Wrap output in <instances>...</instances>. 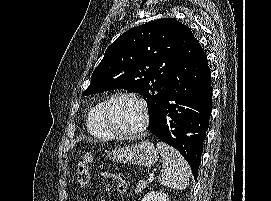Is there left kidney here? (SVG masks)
<instances>
[{"label":"left kidney","instance_id":"1","mask_svg":"<svg viewBox=\"0 0 271 201\" xmlns=\"http://www.w3.org/2000/svg\"><path fill=\"white\" fill-rule=\"evenodd\" d=\"M142 201H169V198L162 192L150 191L143 197Z\"/></svg>","mask_w":271,"mask_h":201}]
</instances>
